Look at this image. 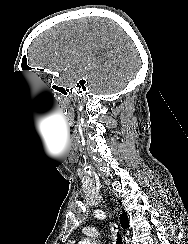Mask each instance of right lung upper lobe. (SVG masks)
Here are the masks:
<instances>
[{
  "mask_svg": "<svg viewBox=\"0 0 188 244\" xmlns=\"http://www.w3.org/2000/svg\"><path fill=\"white\" fill-rule=\"evenodd\" d=\"M120 224L123 228H128L129 224H128V217L127 214L125 212L122 213L121 217H120Z\"/></svg>",
  "mask_w": 188,
  "mask_h": 244,
  "instance_id": "cb5924a9",
  "label": "right lung upper lobe"
}]
</instances>
